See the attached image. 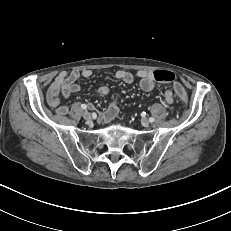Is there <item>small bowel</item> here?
I'll use <instances>...</instances> for the list:
<instances>
[{
    "label": "small bowel",
    "instance_id": "c3829d8e",
    "mask_svg": "<svg viewBox=\"0 0 231 231\" xmlns=\"http://www.w3.org/2000/svg\"><path fill=\"white\" fill-rule=\"evenodd\" d=\"M92 76V71L90 69L83 70H73L70 73L60 72L49 88L48 99L50 105L56 109L59 114H66L68 112V107L65 105H60V96L68 98L71 94L79 92L81 86L77 83L80 78H89ZM140 81V87L144 91H152L155 87V80L153 77V71L150 70H139L136 74ZM117 80H120L126 84H131L135 80V76L126 70H117L114 74ZM98 94L107 95L109 89L105 86L98 88ZM165 100L167 104L171 107L173 106V93L167 91L165 94ZM92 108V105H89ZM118 114V106L116 101H112L107 109L103 111L99 118L102 122H111Z\"/></svg>",
    "mask_w": 231,
    "mask_h": 231
}]
</instances>
